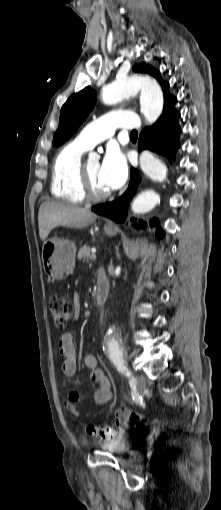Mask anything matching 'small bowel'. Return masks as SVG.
Wrapping results in <instances>:
<instances>
[{
	"label": "small bowel",
	"mask_w": 221,
	"mask_h": 510,
	"mask_svg": "<svg viewBox=\"0 0 221 510\" xmlns=\"http://www.w3.org/2000/svg\"><path fill=\"white\" fill-rule=\"evenodd\" d=\"M74 307H75V319L78 316L79 311V297L74 296ZM59 351L62 355L61 369L62 372L67 376H72L77 370V354L75 341L72 333L67 332L60 336L58 341ZM84 363L90 369V376L94 382L98 384V388L94 393L93 402L97 405L107 403L113 394V385L108 375L102 370L98 364L97 359L93 351L87 350L84 353ZM65 406L71 414L78 416L81 410L80 397L77 392H70L68 398L65 401ZM119 411H128L126 408L117 409L115 411V425L117 430H113V437L121 433L126 427L127 423L118 414Z\"/></svg>",
	"instance_id": "1"
}]
</instances>
